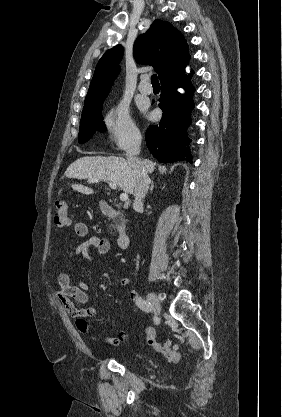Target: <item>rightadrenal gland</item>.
<instances>
[{
    "label": "right adrenal gland",
    "instance_id": "obj_1",
    "mask_svg": "<svg viewBox=\"0 0 282 417\" xmlns=\"http://www.w3.org/2000/svg\"><path fill=\"white\" fill-rule=\"evenodd\" d=\"M150 184H151V186H150V192H153V190H154V182H153V180H151Z\"/></svg>",
    "mask_w": 282,
    "mask_h": 417
}]
</instances>
